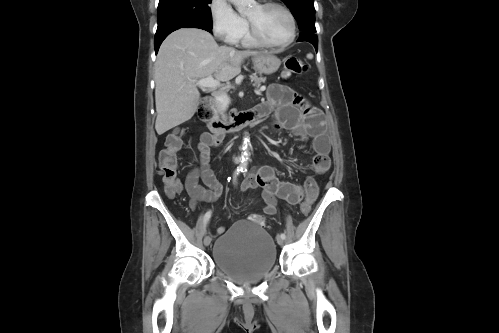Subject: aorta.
Masks as SVG:
<instances>
[{"mask_svg": "<svg viewBox=\"0 0 499 333\" xmlns=\"http://www.w3.org/2000/svg\"><path fill=\"white\" fill-rule=\"evenodd\" d=\"M232 2L237 10L240 13L246 12L254 3L255 0H229ZM249 146H250V141L248 138H244L243 141V146H242V153L240 157V165L239 167L242 169L247 168L249 157H250V151H249Z\"/></svg>", "mask_w": 499, "mask_h": 333, "instance_id": "obj_1", "label": "aorta"}]
</instances>
